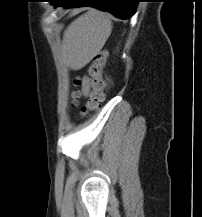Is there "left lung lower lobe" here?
<instances>
[{
  "instance_id": "0a47b994",
  "label": "left lung lower lobe",
  "mask_w": 202,
  "mask_h": 217,
  "mask_svg": "<svg viewBox=\"0 0 202 217\" xmlns=\"http://www.w3.org/2000/svg\"><path fill=\"white\" fill-rule=\"evenodd\" d=\"M55 8L59 6H92L110 12L118 18L128 19L134 15L139 0H51Z\"/></svg>"
}]
</instances>
